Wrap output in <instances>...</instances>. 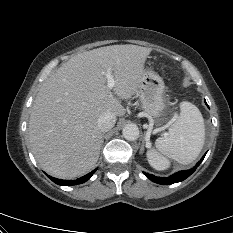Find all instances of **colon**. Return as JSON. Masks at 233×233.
I'll list each match as a JSON object with an SVG mask.
<instances>
[{
	"label": "colon",
	"mask_w": 233,
	"mask_h": 233,
	"mask_svg": "<svg viewBox=\"0 0 233 233\" xmlns=\"http://www.w3.org/2000/svg\"><path fill=\"white\" fill-rule=\"evenodd\" d=\"M148 159L157 170H166L170 167L169 160L160 154L156 149L150 148L147 151Z\"/></svg>",
	"instance_id": "obj_1"
}]
</instances>
